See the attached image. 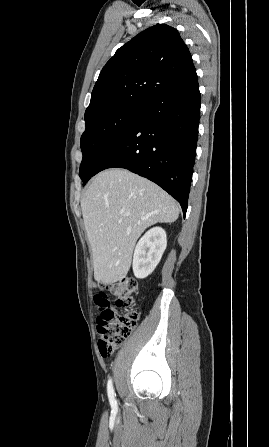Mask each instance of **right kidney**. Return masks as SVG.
Here are the masks:
<instances>
[{"mask_svg": "<svg viewBox=\"0 0 269 447\" xmlns=\"http://www.w3.org/2000/svg\"><path fill=\"white\" fill-rule=\"evenodd\" d=\"M167 245V235L163 227H151L140 237L133 255L135 277L143 279L152 273L159 263Z\"/></svg>", "mask_w": 269, "mask_h": 447, "instance_id": "1", "label": "right kidney"}]
</instances>
